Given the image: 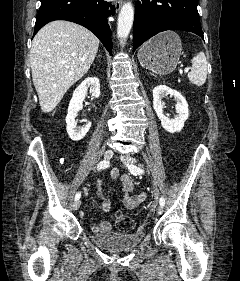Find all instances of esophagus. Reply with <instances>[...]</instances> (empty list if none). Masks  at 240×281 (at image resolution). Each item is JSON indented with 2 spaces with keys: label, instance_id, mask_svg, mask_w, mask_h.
<instances>
[{
  "label": "esophagus",
  "instance_id": "obj_1",
  "mask_svg": "<svg viewBox=\"0 0 240 281\" xmlns=\"http://www.w3.org/2000/svg\"><path fill=\"white\" fill-rule=\"evenodd\" d=\"M114 5H115L116 10L119 11L123 5V2H122V0H115Z\"/></svg>",
  "mask_w": 240,
  "mask_h": 281
}]
</instances>
